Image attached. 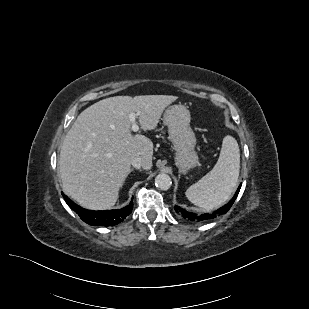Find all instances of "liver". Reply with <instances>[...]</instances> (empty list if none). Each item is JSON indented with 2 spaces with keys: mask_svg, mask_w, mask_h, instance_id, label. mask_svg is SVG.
<instances>
[{
  "mask_svg": "<svg viewBox=\"0 0 309 309\" xmlns=\"http://www.w3.org/2000/svg\"><path fill=\"white\" fill-rule=\"evenodd\" d=\"M177 99L170 95L115 96L82 111L60 151L63 191L87 209L113 207L131 172L130 159L138 155L145 170L152 167L153 143L144 135H132L129 115L137 114L143 130H153L165 108Z\"/></svg>",
  "mask_w": 309,
  "mask_h": 309,
  "instance_id": "obj_1",
  "label": "liver"
}]
</instances>
